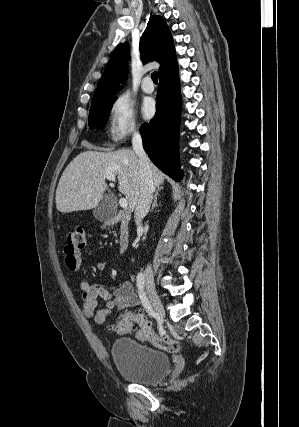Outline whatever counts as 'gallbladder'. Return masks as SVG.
Here are the masks:
<instances>
[{
  "mask_svg": "<svg viewBox=\"0 0 299 427\" xmlns=\"http://www.w3.org/2000/svg\"><path fill=\"white\" fill-rule=\"evenodd\" d=\"M117 212L116 204L112 196H104L101 202L95 207L93 215L100 222H108L114 219Z\"/></svg>",
  "mask_w": 299,
  "mask_h": 427,
  "instance_id": "gallbladder-1",
  "label": "gallbladder"
}]
</instances>
